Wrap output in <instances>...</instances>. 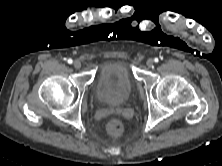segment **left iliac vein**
<instances>
[{"mask_svg":"<svg viewBox=\"0 0 222 166\" xmlns=\"http://www.w3.org/2000/svg\"><path fill=\"white\" fill-rule=\"evenodd\" d=\"M146 64H147L148 67H152L153 64H154V60L153 59H148Z\"/></svg>","mask_w":222,"mask_h":166,"instance_id":"1","label":"left iliac vein"}]
</instances>
